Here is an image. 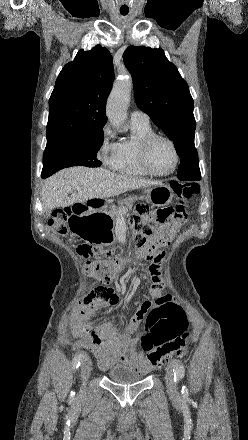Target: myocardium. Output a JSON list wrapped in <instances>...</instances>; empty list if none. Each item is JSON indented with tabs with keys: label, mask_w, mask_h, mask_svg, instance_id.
Here are the masks:
<instances>
[{
	"label": "myocardium",
	"mask_w": 248,
	"mask_h": 440,
	"mask_svg": "<svg viewBox=\"0 0 248 440\" xmlns=\"http://www.w3.org/2000/svg\"><path fill=\"white\" fill-rule=\"evenodd\" d=\"M157 141H165L166 143H168L174 153V157H175V161H174V165L171 168V170L167 171V172H158L155 171L151 164H150V151L151 148L153 147V145L157 142ZM139 162L141 167L143 168V170L152 176H156V177H165V176H169L171 174H173L180 162V154L178 151V148L176 146V144L174 143V141L172 139H170L169 137H166L164 135H159V134H152L148 137H146L140 144L139 147Z\"/></svg>",
	"instance_id": "obj_1"
}]
</instances>
